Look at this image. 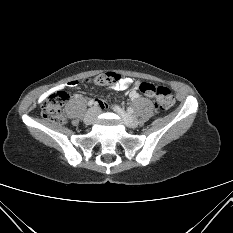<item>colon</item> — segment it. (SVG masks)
<instances>
[{"label":"colon","mask_w":233,"mask_h":233,"mask_svg":"<svg viewBox=\"0 0 233 233\" xmlns=\"http://www.w3.org/2000/svg\"><path fill=\"white\" fill-rule=\"evenodd\" d=\"M108 73H100L89 79L92 84L102 86H113L117 83L108 78ZM117 74V73H116ZM117 76H120L117 74ZM121 77V76H120ZM139 91L155 99V107L158 111H164L173 106L175 99L171 90L165 86H155L151 83L142 82L138 86ZM68 99V95L63 90H57L49 94L42 103L41 115L45 120L55 124H61L65 121L63 106Z\"/></svg>","instance_id":"colon-1"}]
</instances>
